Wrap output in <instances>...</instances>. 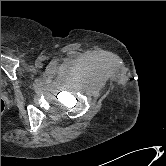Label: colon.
<instances>
[{
	"mask_svg": "<svg viewBox=\"0 0 166 166\" xmlns=\"http://www.w3.org/2000/svg\"><path fill=\"white\" fill-rule=\"evenodd\" d=\"M5 109V103L4 101L1 99V114L4 112Z\"/></svg>",
	"mask_w": 166,
	"mask_h": 166,
	"instance_id": "1",
	"label": "colon"
}]
</instances>
